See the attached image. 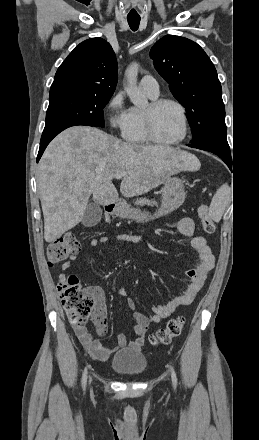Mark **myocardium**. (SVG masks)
Listing matches in <instances>:
<instances>
[{
	"mask_svg": "<svg viewBox=\"0 0 259 440\" xmlns=\"http://www.w3.org/2000/svg\"><path fill=\"white\" fill-rule=\"evenodd\" d=\"M166 104H172L179 109L181 117H182V122H183L182 135L178 139L172 140V141H165V140H162L161 138H159V136L156 133L155 124H154V115H155L156 111ZM143 119H144V126H145L146 134H147L149 140L152 141L153 143L163 145V146H173V145L180 144L188 136L189 121H188L187 112H186L184 105L176 99H172V98L154 99L150 103L148 109H145L143 111Z\"/></svg>",
	"mask_w": 259,
	"mask_h": 440,
	"instance_id": "1",
	"label": "myocardium"
}]
</instances>
